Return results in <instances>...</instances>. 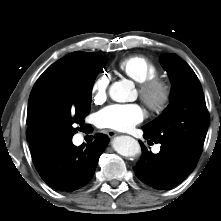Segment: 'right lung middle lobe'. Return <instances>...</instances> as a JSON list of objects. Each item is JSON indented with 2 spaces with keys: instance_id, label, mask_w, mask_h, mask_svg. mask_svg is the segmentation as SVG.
Masks as SVG:
<instances>
[{
  "instance_id": "1",
  "label": "right lung middle lobe",
  "mask_w": 221,
  "mask_h": 221,
  "mask_svg": "<svg viewBox=\"0 0 221 221\" xmlns=\"http://www.w3.org/2000/svg\"><path fill=\"white\" fill-rule=\"evenodd\" d=\"M106 61L97 54L62 69L32 89L26 132L31 151L69 142L77 126L83 127L95 77Z\"/></svg>"
}]
</instances>
